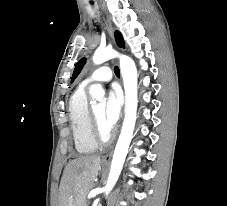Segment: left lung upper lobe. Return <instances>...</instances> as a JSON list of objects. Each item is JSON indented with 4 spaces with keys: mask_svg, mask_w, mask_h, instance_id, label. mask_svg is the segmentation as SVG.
Listing matches in <instances>:
<instances>
[{
    "mask_svg": "<svg viewBox=\"0 0 227 206\" xmlns=\"http://www.w3.org/2000/svg\"><path fill=\"white\" fill-rule=\"evenodd\" d=\"M115 38H116V42H117L118 46H119V47H124V40H123L122 35H121L119 32H116V33H115ZM84 63H85V58L81 59V60L77 63V65H76V67H75V69H74V72H73V76H72V78H71V82H72V81L77 77V75L80 73V71H81V69H82Z\"/></svg>",
    "mask_w": 227,
    "mask_h": 206,
    "instance_id": "5c2ea615",
    "label": "left lung upper lobe"
}]
</instances>
